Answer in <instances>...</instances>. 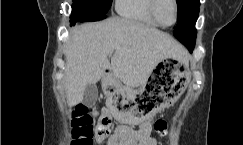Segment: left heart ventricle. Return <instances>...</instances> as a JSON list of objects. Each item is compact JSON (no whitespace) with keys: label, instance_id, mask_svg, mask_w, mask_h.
Returning a JSON list of instances; mask_svg holds the SVG:
<instances>
[{"label":"left heart ventricle","instance_id":"b2bd125f","mask_svg":"<svg viewBox=\"0 0 243 145\" xmlns=\"http://www.w3.org/2000/svg\"><path fill=\"white\" fill-rule=\"evenodd\" d=\"M158 15L165 24H172L175 16L172 0H160L158 4Z\"/></svg>","mask_w":243,"mask_h":145}]
</instances>
